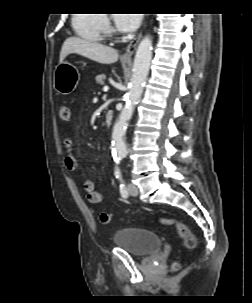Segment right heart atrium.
<instances>
[{
	"label": "right heart atrium",
	"instance_id": "1",
	"mask_svg": "<svg viewBox=\"0 0 252 303\" xmlns=\"http://www.w3.org/2000/svg\"><path fill=\"white\" fill-rule=\"evenodd\" d=\"M105 28H106V29L109 28V23H108V21H105Z\"/></svg>",
	"mask_w": 252,
	"mask_h": 303
}]
</instances>
